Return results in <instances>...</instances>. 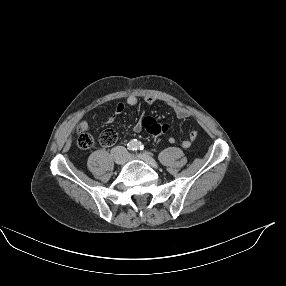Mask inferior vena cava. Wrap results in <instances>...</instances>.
<instances>
[{
	"instance_id": "1",
	"label": "inferior vena cava",
	"mask_w": 286,
	"mask_h": 286,
	"mask_svg": "<svg viewBox=\"0 0 286 286\" xmlns=\"http://www.w3.org/2000/svg\"><path fill=\"white\" fill-rule=\"evenodd\" d=\"M112 154L118 162H123L127 158L128 151L123 146H117L112 149Z\"/></svg>"
}]
</instances>
